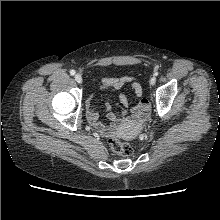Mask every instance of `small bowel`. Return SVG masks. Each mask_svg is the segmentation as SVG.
<instances>
[{
  "label": "small bowel",
  "mask_w": 220,
  "mask_h": 220,
  "mask_svg": "<svg viewBox=\"0 0 220 220\" xmlns=\"http://www.w3.org/2000/svg\"><path fill=\"white\" fill-rule=\"evenodd\" d=\"M129 85L132 90L135 93V96L140 99L142 97V87L140 83L131 76H123L120 78H113V77H106L102 79V85L101 90L107 91V92H113L115 90L121 89L123 86ZM93 97L89 98L86 102V117L88 122L95 127L101 134L107 135L110 133L111 128L108 124L104 123L100 120L97 112L95 111L93 105H92ZM147 101V105H144V102ZM119 105L123 111V113L126 112V110L129 109V101L125 95L119 96ZM149 103L148 100L142 98L139 100V103L136 107L132 108V113L134 117H140L148 108ZM107 119L110 122L117 121L119 117H117L115 114H113L110 111L109 106H107Z\"/></svg>",
  "instance_id": "obj_1"
}]
</instances>
